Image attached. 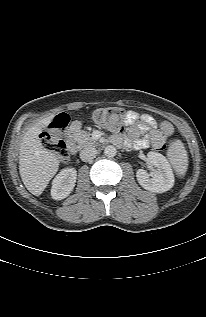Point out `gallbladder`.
I'll return each mask as SVG.
<instances>
[{
	"instance_id": "bac80fb5",
	"label": "gallbladder",
	"mask_w": 206,
	"mask_h": 317,
	"mask_svg": "<svg viewBox=\"0 0 206 317\" xmlns=\"http://www.w3.org/2000/svg\"><path fill=\"white\" fill-rule=\"evenodd\" d=\"M53 139H58L60 137V133L57 130H53L51 132Z\"/></svg>"
}]
</instances>
